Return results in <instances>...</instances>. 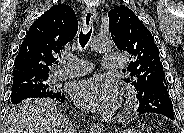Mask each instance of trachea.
Instances as JSON below:
<instances>
[{"label": "trachea", "mask_w": 184, "mask_h": 133, "mask_svg": "<svg viewBox=\"0 0 184 133\" xmlns=\"http://www.w3.org/2000/svg\"><path fill=\"white\" fill-rule=\"evenodd\" d=\"M92 33V28L88 32H83L81 30L80 35H79V43L82 48L86 46L88 43Z\"/></svg>", "instance_id": "obj_1"}]
</instances>
